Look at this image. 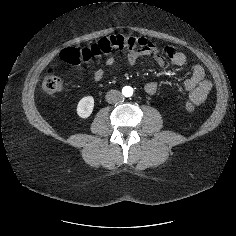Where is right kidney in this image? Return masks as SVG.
Segmentation results:
<instances>
[{
    "instance_id": "ca27d5eb",
    "label": "right kidney",
    "mask_w": 236,
    "mask_h": 236,
    "mask_svg": "<svg viewBox=\"0 0 236 236\" xmlns=\"http://www.w3.org/2000/svg\"><path fill=\"white\" fill-rule=\"evenodd\" d=\"M94 108V98L92 96L83 97L77 105V114L81 118H88Z\"/></svg>"
}]
</instances>
